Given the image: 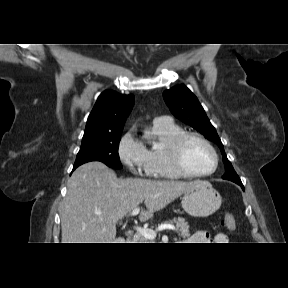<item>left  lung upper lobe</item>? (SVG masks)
<instances>
[{"mask_svg":"<svg viewBox=\"0 0 288 288\" xmlns=\"http://www.w3.org/2000/svg\"><path fill=\"white\" fill-rule=\"evenodd\" d=\"M163 97L176 118L192 126L207 139L219 146L226 168V172L222 178L235 183H242L230 161L227 159L223 144L197 97L185 85H177L164 91Z\"/></svg>","mask_w":288,"mask_h":288,"instance_id":"5c2ea615","label":"left lung upper lobe"}]
</instances>
